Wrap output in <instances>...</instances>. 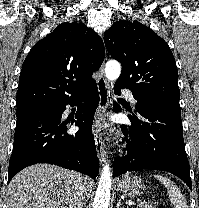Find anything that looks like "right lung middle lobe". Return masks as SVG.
Segmentation results:
<instances>
[{
    "label": "right lung middle lobe",
    "mask_w": 199,
    "mask_h": 208,
    "mask_svg": "<svg viewBox=\"0 0 199 208\" xmlns=\"http://www.w3.org/2000/svg\"><path fill=\"white\" fill-rule=\"evenodd\" d=\"M49 109L48 106H30L16 110V116L27 115L32 113L44 112Z\"/></svg>",
    "instance_id": "right-lung-middle-lobe-1"
}]
</instances>
